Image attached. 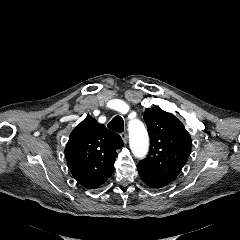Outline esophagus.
<instances>
[{"label":"esophagus","mask_w":240,"mask_h":240,"mask_svg":"<svg viewBox=\"0 0 240 240\" xmlns=\"http://www.w3.org/2000/svg\"><path fill=\"white\" fill-rule=\"evenodd\" d=\"M121 138H122L124 143H127V141H128V134H127V132L122 133L121 134Z\"/></svg>","instance_id":"obj_1"}]
</instances>
